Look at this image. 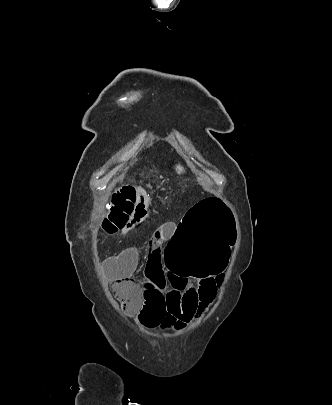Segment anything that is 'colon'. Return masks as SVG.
<instances>
[{"label":"colon","mask_w":332,"mask_h":405,"mask_svg":"<svg viewBox=\"0 0 332 405\" xmlns=\"http://www.w3.org/2000/svg\"><path fill=\"white\" fill-rule=\"evenodd\" d=\"M137 192L132 186H123L114 192L103 229L113 234L130 228L138 219L131 216L137 208ZM236 222L234 211H229V202L221 197H200L184 211V220H175V230L169 248H165V268L170 275H192L194 281H203L205 275H217L221 281L225 268H229L228 257H233ZM113 291L118 301L130 312L141 310L139 286L125 278L115 282ZM167 296V295H166ZM138 320V315H137Z\"/></svg>","instance_id":"colon-1"}]
</instances>
